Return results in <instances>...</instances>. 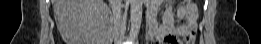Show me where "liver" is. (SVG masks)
Instances as JSON below:
<instances>
[{"mask_svg":"<svg viewBox=\"0 0 261 44\" xmlns=\"http://www.w3.org/2000/svg\"><path fill=\"white\" fill-rule=\"evenodd\" d=\"M53 1L57 27L66 42L69 44L106 42L100 38L98 29L99 24L109 13L103 0ZM106 24H115V19H106Z\"/></svg>","mask_w":261,"mask_h":44,"instance_id":"liver-1","label":"liver"}]
</instances>
